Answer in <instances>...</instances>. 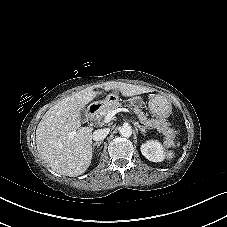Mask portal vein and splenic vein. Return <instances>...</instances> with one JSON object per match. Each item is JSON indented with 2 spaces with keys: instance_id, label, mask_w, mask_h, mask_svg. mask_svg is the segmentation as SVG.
Here are the masks:
<instances>
[{
  "instance_id": "1",
  "label": "portal vein and splenic vein",
  "mask_w": 227,
  "mask_h": 227,
  "mask_svg": "<svg viewBox=\"0 0 227 227\" xmlns=\"http://www.w3.org/2000/svg\"><path fill=\"white\" fill-rule=\"evenodd\" d=\"M119 112H128V113H129V110L126 109V108H117V109H115V110H113V111H110V112L106 115V117H105V119H104V122H105V123H109V122L113 119V117H114L117 113H119ZM74 134H75V132H72V133H71V136H73Z\"/></svg>"
}]
</instances>
